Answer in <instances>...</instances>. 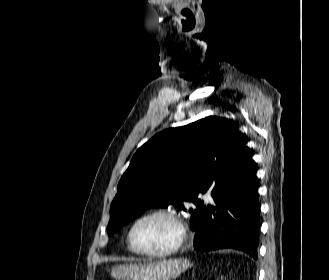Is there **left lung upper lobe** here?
Wrapping results in <instances>:
<instances>
[{"instance_id":"5c2ea615","label":"left lung upper lobe","mask_w":329,"mask_h":280,"mask_svg":"<svg viewBox=\"0 0 329 280\" xmlns=\"http://www.w3.org/2000/svg\"><path fill=\"white\" fill-rule=\"evenodd\" d=\"M243 147L242 134L216 116L156 134L137 150L119 181L108 235L149 208L169 205L191 213L196 230L204 206L198 194L209 190L213 196L231 182ZM187 202L197 208L187 209Z\"/></svg>"}]
</instances>
